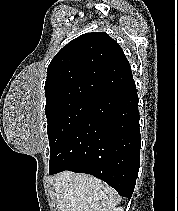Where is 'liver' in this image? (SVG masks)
<instances>
[{"label": "liver", "instance_id": "liver-1", "mask_svg": "<svg viewBox=\"0 0 178 211\" xmlns=\"http://www.w3.org/2000/svg\"><path fill=\"white\" fill-rule=\"evenodd\" d=\"M54 189L59 211H113L118 202L113 188L88 174L59 173Z\"/></svg>", "mask_w": 178, "mask_h": 211}]
</instances>
